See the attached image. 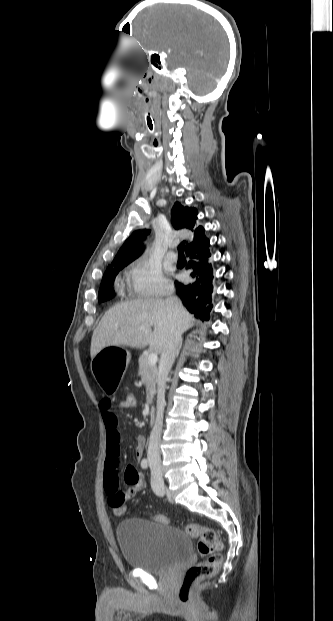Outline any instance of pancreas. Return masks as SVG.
Masks as SVG:
<instances>
[{
  "instance_id": "cf45deb5",
  "label": "pancreas",
  "mask_w": 333,
  "mask_h": 621,
  "mask_svg": "<svg viewBox=\"0 0 333 621\" xmlns=\"http://www.w3.org/2000/svg\"><path fill=\"white\" fill-rule=\"evenodd\" d=\"M142 382L146 385L147 401L150 402L156 393L157 367L148 363V356L139 357V372Z\"/></svg>"
}]
</instances>
